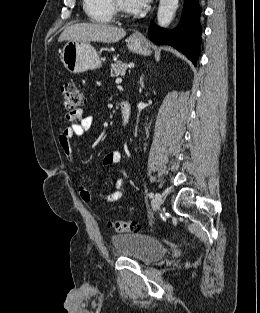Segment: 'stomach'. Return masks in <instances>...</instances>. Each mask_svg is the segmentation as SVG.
I'll return each mask as SVG.
<instances>
[{
  "label": "stomach",
  "instance_id": "stomach-1",
  "mask_svg": "<svg viewBox=\"0 0 260 313\" xmlns=\"http://www.w3.org/2000/svg\"><path fill=\"white\" fill-rule=\"evenodd\" d=\"M128 48L142 55L151 54V45L143 38L132 35L128 39ZM61 60L70 73H82L101 66L96 49L89 42L69 40L63 47Z\"/></svg>",
  "mask_w": 260,
  "mask_h": 313
}]
</instances>
